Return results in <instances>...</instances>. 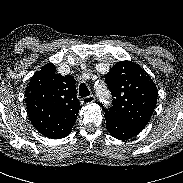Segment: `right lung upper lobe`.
I'll return each instance as SVG.
<instances>
[{"label":"right lung upper lobe","mask_w":183,"mask_h":183,"mask_svg":"<svg viewBox=\"0 0 183 183\" xmlns=\"http://www.w3.org/2000/svg\"><path fill=\"white\" fill-rule=\"evenodd\" d=\"M74 77L55 74L47 64L30 79L25 101L32 125L42 135L64 138L70 134L80 109Z\"/></svg>","instance_id":"1"}]
</instances>
